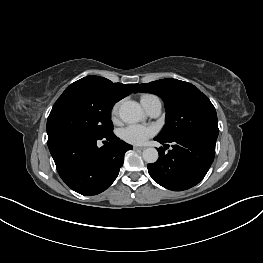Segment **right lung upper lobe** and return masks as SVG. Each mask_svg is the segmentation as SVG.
<instances>
[{
  "label": "right lung upper lobe",
  "mask_w": 263,
  "mask_h": 263,
  "mask_svg": "<svg viewBox=\"0 0 263 263\" xmlns=\"http://www.w3.org/2000/svg\"><path fill=\"white\" fill-rule=\"evenodd\" d=\"M138 84L113 83L110 80L99 76H87L74 83L70 87L82 86L89 88L113 101L118 102L131 94Z\"/></svg>",
  "instance_id": "obj_1"
}]
</instances>
